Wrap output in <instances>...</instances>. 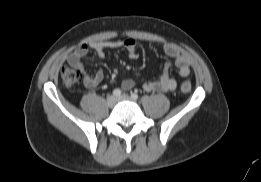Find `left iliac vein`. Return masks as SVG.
Returning <instances> with one entry per match:
<instances>
[{"label":"left iliac vein","instance_id":"1","mask_svg":"<svg viewBox=\"0 0 261 182\" xmlns=\"http://www.w3.org/2000/svg\"><path fill=\"white\" fill-rule=\"evenodd\" d=\"M118 101H131L133 100L131 97H129L128 95H122L120 97L117 98Z\"/></svg>","mask_w":261,"mask_h":182}]
</instances>
